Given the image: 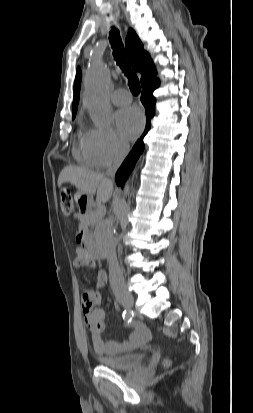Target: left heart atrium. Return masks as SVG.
<instances>
[{
	"mask_svg": "<svg viewBox=\"0 0 253 413\" xmlns=\"http://www.w3.org/2000/svg\"><path fill=\"white\" fill-rule=\"evenodd\" d=\"M144 125V115L137 107H127L116 115V126L119 134L126 140L138 136Z\"/></svg>",
	"mask_w": 253,
	"mask_h": 413,
	"instance_id": "obj_1",
	"label": "left heart atrium"
}]
</instances>
